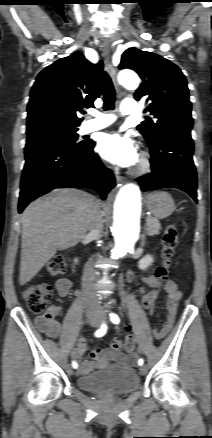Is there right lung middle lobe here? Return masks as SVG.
<instances>
[{
    "mask_svg": "<svg viewBox=\"0 0 212 438\" xmlns=\"http://www.w3.org/2000/svg\"><path fill=\"white\" fill-rule=\"evenodd\" d=\"M78 127L49 125L27 130V140L39 137H56L69 143L84 144L86 141L78 142Z\"/></svg>",
    "mask_w": 212,
    "mask_h": 438,
    "instance_id": "right-lung-middle-lobe-1",
    "label": "right lung middle lobe"
}]
</instances>
